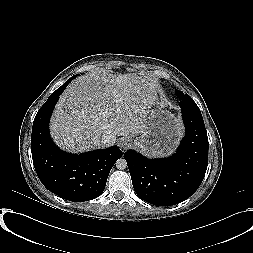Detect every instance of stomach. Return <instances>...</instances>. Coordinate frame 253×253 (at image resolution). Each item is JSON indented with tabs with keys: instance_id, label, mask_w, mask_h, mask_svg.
Segmentation results:
<instances>
[{
	"instance_id": "0dacf381",
	"label": "stomach",
	"mask_w": 253,
	"mask_h": 253,
	"mask_svg": "<svg viewBox=\"0 0 253 253\" xmlns=\"http://www.w3.org/2000/svg\"><path fill=\"white\" fill-rule=\"evenodd\" d=\"M139 136L132 140L134 147L150 157L170 155L182 136V125L171 112L149 109Z\"/></svg>"
}]
</instances>
